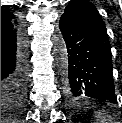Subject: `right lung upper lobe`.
I'll return each instance as SVG.
<instances>
[{
  "mask_svg": "<svg viewBox=\"0 0 122 123\" xmlns=\"http://www.w3.org/2000/svg\"><path fill=\"white\" fill-rule=\"evenodd\" d=\"M14 22L17 23V17L10 11L1 10V23Z\"/></svg>",
  "mask_w": 122,
  "mask_h": 123,
  "instance_id": "obj_1",
  "label": "right lung upper lobe"
}]
</instances>
